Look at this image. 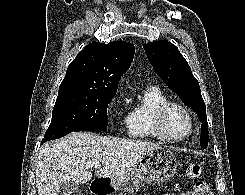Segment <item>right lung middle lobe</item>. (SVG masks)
I'll use <instances>...</instances> for the list:
<instances>
[{"instance_id":"dd1d6c3e","label":"right lung middle lobe","mask_w":245,"mask_h":195,"mask_svg":"<svg viewBox=\"0 0 245 195\" xmlns=\"http://www.w3.org/2000/svg\"><path fill=\"white\" fill-rule=\"evenodd\" d=\"M114 95L93 90L58 93L42 143L85 127H107V107Z\"/></svg>"}]
</instances>
